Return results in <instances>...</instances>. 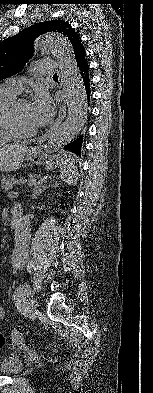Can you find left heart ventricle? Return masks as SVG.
<instances>
[{"mask_svg":"<svg viewBox=\"0 0 153 393\" xmlns=\"http://www.w3.org/2000/svg\"><path fill=\"white\" fill-rule=\"evenodd\" d=\"M17 119L20 128L23 130H33L34 124L31 119L30 114V104L28 102H23L17 107Z\"/></svg>","mask_w":153,"mask_h":393,"instance_id":"b2bd125f","label":"left heart ventricle"}]
</instances>
